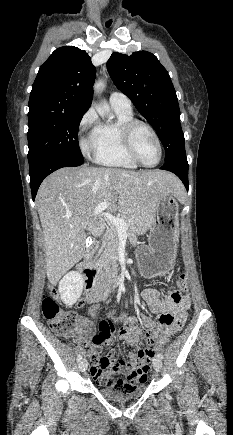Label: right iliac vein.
<instances>
[{
    "instance_id": "right-iliac-vein-1",
    "label": "right iliac vein",
    "mask_w": 233,
    "mask_h": 435,
    "mask_svg": "<svg viewBox=\"0 0 233 435\" xmlns=\"http://www.w3.org/2000/svg\"><path fill=\"white\" fill-rule=\"evenodd\" d=\"M87 367H88V362H87V360H86V359H82V360L79 362V369H80L82 372H85V371L87 370Z\"/></svg>"
}]
</instances>
